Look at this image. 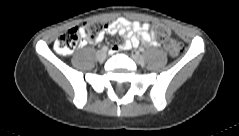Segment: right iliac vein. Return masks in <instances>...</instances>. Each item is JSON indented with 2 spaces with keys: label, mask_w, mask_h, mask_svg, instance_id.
I'll return each mask as SVG.
<instances>
[{
  "label": "right iliac vein",
  "mask_w": 239,
  "mask_h": 136,
  "mask_svg": "<svg viewBox=\"0 0 239 136\" xmlns=\"http://www.w3.org/2000/svg\"><path fill=\"white\" fill-rule=\"evenodd\" d=\"M106 56H107V53H106V51H104V50H99V51L97 52V59H98L99 61H104V60L106 59Z\"/></svg>",
  "instance_id": "1"
}]
</instances>
